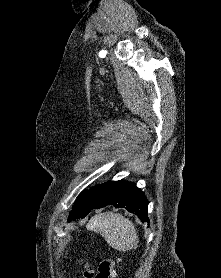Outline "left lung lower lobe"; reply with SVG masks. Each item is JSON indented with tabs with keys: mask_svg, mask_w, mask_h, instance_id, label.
<instances>
[{
	"mask_svg": "<svg viewBox=\"0 0 221 278\" xmlns=\"http://www.w3.org/2000/svg\"><path fill=\"white\" fill-rule=\"evenodd\" d=\"M113 205L115 208H125L136 214L142 222H149L148 201L144 193L134 183L123 180L108 181L87 192H83L68 218V222L76 218H84L91 210Z\"/></svg>",
	"mask_w": 221,
	"mask_h": 278,
	"instance_id": "0a47b994",
	"label": "left lung lower lobe"
}]
</instances>
